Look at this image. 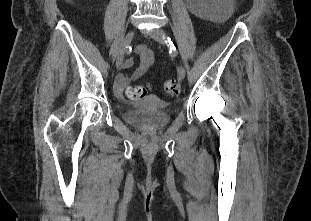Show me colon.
Segmentation results:
<instances>
[{"label": "colon", "mask_w": 311, "mask_h": 221, "mask_svg": "<svg viewBox=\"0 0 311 221\" xmlns=\"http://www.w3.org/2000/svg\"><path fill=\"white\" fill-rule=\"evenodd\" d=\"M67 1L71 2L72 0ZM162 90L167 97H172L178 93L179 84L177 80L169 78L164 82ZM146 93V88H129L128 96L130 97V99H143Z\"/></svg>", "instance_id": "obj_1"}]
</instances>
